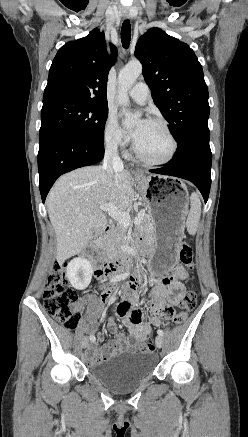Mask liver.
Returning <instances> with one entry per match:
<instances>
[{
	"mask_svg": "<svg viewBox=\"0 0 248 437\" xmlns=\"http://www.w3.org/2000/svg\"><path fill=\"white\" fill-rule=\"evenodd\" d=\"M135 188V179L124 169L109 176L101 166H90L61 176L46 199L57 237V261L80 253L94 233L102 232L107 219L101 205L111 203L124 211L134 200Z\"/></svg>",
	"mask_w": 248,
	"mask_h": 437,
	"instance_id": "1",
	"label": "liver"
}]
</instances>
